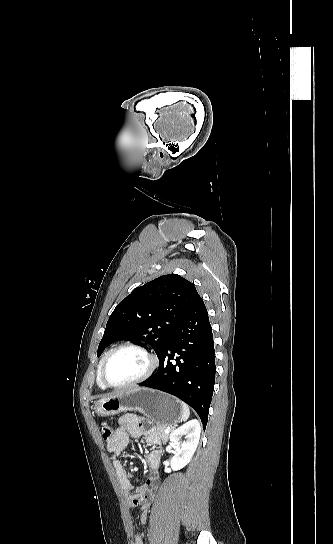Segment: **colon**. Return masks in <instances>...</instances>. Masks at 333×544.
Segmentation results:
<instances>
[{
    "label": "colon",
    "instance_id": "obj_1",
    "mask_svg": "<svg viewBox=\"0 0 333 544\" xmlns=\"http://www.w3.org/2000/svg\"><path fill=\"white\" fill-rule=\"evenodd\" d=\"M99 427H100V431H101V435L103 439L107 442L110 441L113 436L110 425L106 422H102L100 423Z\"/></svg>",
    "mask_w": 333,
    "mask_h": 544
}]
</instances>
